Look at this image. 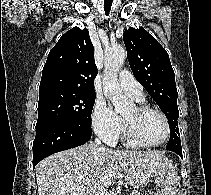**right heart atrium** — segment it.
Here are the masks:
<instances>
[{"instance_id": "right-heart-atrium-1", "label": "right heart atrium", "mask_w": 211, "mask_h": 195, "mask_svg": "<svg viewBox=\"0 0 211 195\" xmlns=\"http://www.w3.org/2000/svg\"><path fill=\"white\" fill-rule=\"evenodd\" d=\"M91 123L95 133L106 143L114 144L122 130V118L102 98L95 101Z\"/></svg>"}]
</instances>
